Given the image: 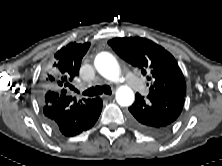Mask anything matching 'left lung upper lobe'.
Here are the masks:
<instances>
[{"instance_id":"left-lung-upper-lobe-1","label":"left lung upper lobe","mask_w":222,"mask_h":166,"mask_svg":"<svg viewBox=\"0 0 222 166\" xmlns=\"http://www.w3.org/2000/svg\"><path fill=\"white\" fill-rule=\"evenodd\" d=\"M113 50L125 61L142 70L153 80L149 95L174 92L186 95L184 76L175 60L163 47L141 37L114 38L108 41Z\"/></svg>"}]
</instances>
